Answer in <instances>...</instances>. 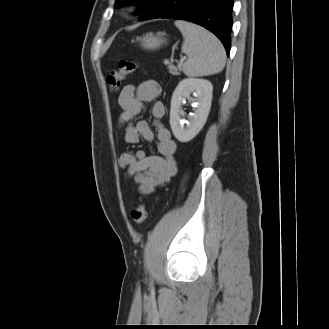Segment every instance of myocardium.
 <instances>
[{"label": "myocardium", "mask_w": 329, "mask_h": 329, "mask_svg": "<svg viewBox=\"0 0 329 329\" xmlns=\"http://www.w3.org/2000/svg\"><path fill=\"white\" fill-rule=\"evenodd\" d=\"M141 7V3L139 1H132L126 5V10L128 11H136Z\"/></svg>", "instance_id": "f54148a6"}]
</instances>
